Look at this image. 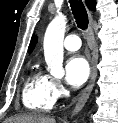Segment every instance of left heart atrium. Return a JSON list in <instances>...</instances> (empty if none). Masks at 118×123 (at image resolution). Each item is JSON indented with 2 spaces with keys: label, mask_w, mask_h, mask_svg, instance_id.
<instances>
[{
  "label": "left heart atrium",
  "mask_w": 118,
  "mask_h": 123,
  "mask_svg": "<svg viewBox=\"0 0 118 123\" xmlns=\"http://www.w3.org/2000/svg\"><path fill=\"white\" fill-rule=\"evenodd\" d=\"M65 72L67 83L72 87L78 88L88 79L90 67L84 57L75 55L67 61Z\"/></svg>",
  "instance_id": "1"
}]
</instances>
